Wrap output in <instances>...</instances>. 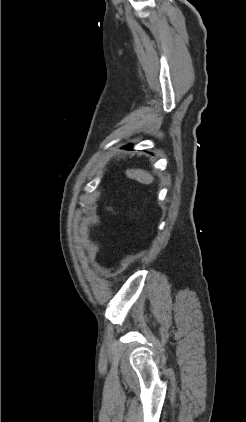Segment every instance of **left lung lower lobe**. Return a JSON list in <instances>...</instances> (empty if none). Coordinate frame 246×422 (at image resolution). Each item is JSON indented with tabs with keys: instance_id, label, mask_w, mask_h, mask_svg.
<instances>
[{
	"instance_id": "0a47b994",
	"label": "left lung lower lobe",
	"mask_w": 246,
	"mask_h": 422,
	"mask_svg": "<svg viewBox=\"0 0 246 422\" xmlns=\"http://www.w3.org/2000/svg\"><path fill=\"white\" fill-rule=\"evenodd\" d=\"M126 149H131V145L124 147Z\"/></svg>"
}]
</instances>
